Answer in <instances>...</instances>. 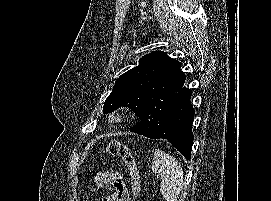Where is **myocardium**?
<instances>
[{
  "label": "myocardium",
  "mask_w": 271,
  "mask_h": 201,
  "mask_svg": "<svg viewBox=\"0 0 271 201\" xmlns=\"http://www.w3.org/2000/svg\"><path fill=\"white\" fill-rule=\"evenodd\" d=\"M109 121L114 125H118V124H121L124 121V117L119 112H112L109 115Z\"/></svg>",
  "instance_id": "f54148a6"
}]
</instances>
